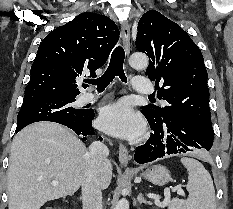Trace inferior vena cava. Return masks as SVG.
<instances>
[{
  "label": "inferior vena cava",
  "mask_w": 233,
  "mask_h": 209,
  "mask_svg": "<svg viewBox=\"0 0 233 209\" xmlns=\"http://www.w3.org/2000/svg\"><path fill=\"white\" fill-rule=\"evenodd\" d=\"M109 150L103 143L95 141L86 153V173L82 181L83 209H102V192L99 172L102 164L107 162Z\"/></svg>",
  "instance_id": "602c4592"
}]
</instances>
